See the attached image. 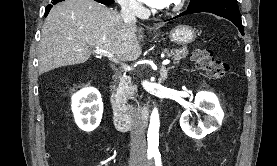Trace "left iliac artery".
Segmentation results:
<instances>
[{"instance_id":"obj_1","label":"left iliac artery","mask_w":277,"mask_h":166,"mask_svg":"<svg viewBox=\"0 0 277 166\" xmlns=\"http://www.w3.org/2000/svg\"><path fill=\"white\" fill-rule=\"evenodd\" d=\"M154 160H155V165L156 166H162V162H161V155L159 152L154 153Z\"/></svg>"}]
</instances>
